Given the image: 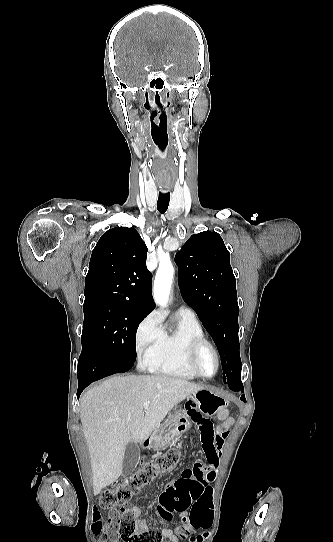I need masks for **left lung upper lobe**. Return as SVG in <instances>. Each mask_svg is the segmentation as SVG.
Listing matches in <instances>:
<instances>
[{"mask_svg": "<svg viewBox=\"0 0 333 542\" xmlns=\"http://www.w3.org/2000/svg\"><path fill=\"white\" fill-rule=\"evenodd\" d=\"M175 262L181 295L218 348L223 380L240 376L236 280L221 236L210 231L192 235Z\"/></svg>", "mask_w": 333, "mask_h": 542, "instance_id": "5c2ea615", "label": "left lung upper lobe"}]
</instances>
